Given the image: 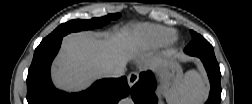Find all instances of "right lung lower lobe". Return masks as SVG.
<instances>
[{
  "label": "right lung lower lobe",
  "mask_w": 252,
  "mask_h": 104,
  "mask_svg": "<svg viewBox=\"0 0 252 104\" xmlns=\"http://www.w3.org/2000/svg\"><path fill=\"white\" fill-rule=\"evenodd\" d=\"M62 39L40 44L35 52L27 76L28 104H116L128 96L127 78L102 79L87 90L67 94L57 90L50 79V66Z\"/></svg>",
  "instance_id": "obj_1"
}]
</instances>
